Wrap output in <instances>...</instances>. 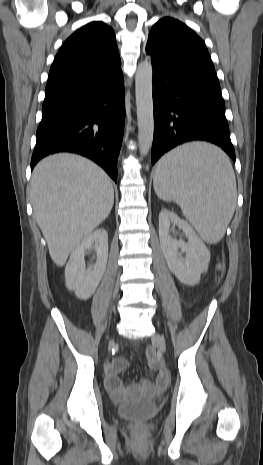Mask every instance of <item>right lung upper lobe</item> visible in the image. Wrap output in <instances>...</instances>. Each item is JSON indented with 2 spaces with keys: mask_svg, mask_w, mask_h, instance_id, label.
Listing matches in <instances>:
<instances>
[{
  "mask_svg": "<svg viewBox=\"0 0 263 465\" xmlns=\"http://www.w3.org/2000/svg\"><path fill=\"white\" fill-rule=\"evenodd\" d=\"M113 29L94 21L73 33L51 66L45 93L72 85L99 82L121 73Z\"/></svg>",
  "mask_w": 263,
  "mask_h": 465,
  "instance_id": "1",
  "label": "right lung upper lobe"
}]
</instances>
